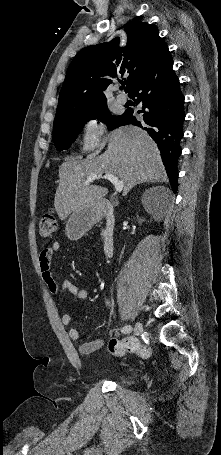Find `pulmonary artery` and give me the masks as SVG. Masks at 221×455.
Listing matches in <instances>:
<instances>
[{
  "mask_svg": "<svg viewBox=\"0 0 221 455\" xmlns=\"http://www.w3.org/2000/svg\"><path fill=\"white\" fill-rule=\"evenodd\" d=\"M117 100L120 103H126L127 100H128V97L126 95H124V94H118L117 95Z\"/></svg>",
  "mask_w": 221,
  "mask_h": 455,
  "instance_id": "obj_1",
  "label": "pulmonary artery"
}]
</instances>
